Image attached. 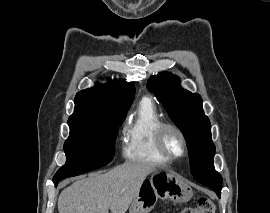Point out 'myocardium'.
<instances>
[{
	"label": "myocardium",
	"instance_id": "1",
	"mask_svg": "<svg viewBox=\"0 0 270 213\" xmlns=\"http://www.w3.org/2000/svg\"><path fill=\"white\" fill-rule=\"evenodd\" d=\"M168 132H175L181 142L182 151L179 154L171 153L166 146V136ZM155 142L158 151L166 157L169 161H174L183 158L188 152V142L182 129L173 123L163 122L157 129L155 135Z\"/></svg>",
	"mask_w": 270,
	"mask_h": 213
}]
</instances>
